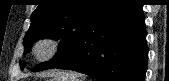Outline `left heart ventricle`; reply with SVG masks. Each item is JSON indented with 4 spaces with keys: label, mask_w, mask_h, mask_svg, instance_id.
<instances>
[{
    "label": "left heart ventricle",
    "mask_w": 169,
    "mask_h": 81,
    "mask_svg": "<svg viewBox=\"0 0 169 81\" xmlns=\"http://www.w3.org/2000/svg\"><path fill=\"white\" fill-rule=\"evenodd\" d=\"M47 52H48V47H47V46H42V47H40L39 50H38V53H39V55H41V56L46 55Z\"/></svg>",
    "instance_id": "left-heart-ventricle-1"
}]
</instances>
